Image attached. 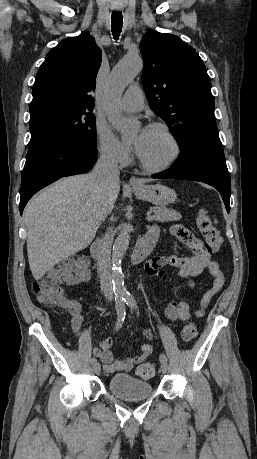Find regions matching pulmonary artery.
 Instances as JSON below:
<instances>
[{
	"label": "pulmonary artery",
	"instance_id": "e3ab8cb5",
	"mask_svg": "<svg viewBox=\"0 0 257 459\" xmlns=\"http://www.w3.org/2000/svg\"><path fill=\"white\" fill-rule=\"evenodd\" d=\"M118 105L124 111L136 112L142 110L144 97L141 88L138 85H131L120 99Z\"/></svg>",
	"mask_w": 257,
	"mask_h": 459
}]
</instances>
